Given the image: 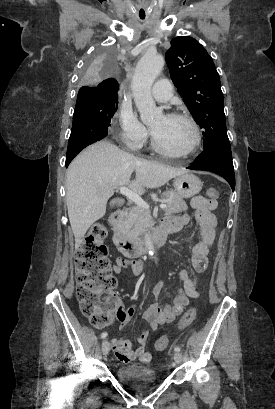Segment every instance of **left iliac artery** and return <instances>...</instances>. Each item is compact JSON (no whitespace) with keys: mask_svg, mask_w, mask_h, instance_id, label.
<instances>
[{"mask_svg":"<svg viewBox=\"0 0 275 409\" xmlns=\"http://www.w3.org/2000/svg\"><path fill=\"white\" fill-rule=\"evenodd\" d=\"M174 350H175V352H179L181 350V348L177 346V347L174 348Z\"/></svg>","mask_w":275,"mask_h":409,"instance_id":"44dca946","label":"left iliac artery"}]
</instances>
